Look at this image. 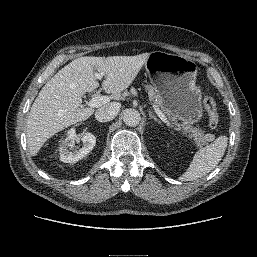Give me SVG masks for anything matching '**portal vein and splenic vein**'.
<instances>
[{"instance_id":"portal-vein-and-splenic-vein-1","label":"portal vein and splenic vein","mask_w":257,"mask_h":257,"mask_svg":"<svg viewBox=\"0 0 257 257\" xmlns=\"http://www.w3.org/2000/svg\"><path fill=\"white\" fill-rule=\"evenodd\" d=\"M96 79L102 80L103 75L99 73H95ZM110 97L108 96H103L100 94L95 95L88 103L87 106L90 108H98L101 107L102 105L110 102ZM153 109L155 113L158 115V117L167 125H170V122L167 120L166 116L164 113L155 105H153Z\"/></svg>"}]
</instances>
